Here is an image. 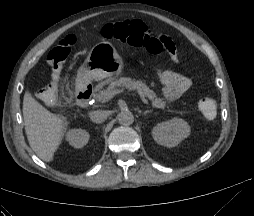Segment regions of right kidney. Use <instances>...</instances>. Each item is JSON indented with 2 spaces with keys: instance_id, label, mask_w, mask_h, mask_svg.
I'll return each mask as SVG.
<instances>
[{
  "instance_id": "1",
  "label": "right kidney",
  "mask_w": 254,
  "mask_h": 216,
  "mask_svg": "<svg viewBox=\"0 0 254 216\" xmlns=\"http://www.w3.org/2000/svg\"><path fill=\"white\" fill-rule=\"evenodd\" d=\"M89 133L82 129H72L66 135V140L75 148H82L89 141Z\"/></svg>"
}]
</instances>
